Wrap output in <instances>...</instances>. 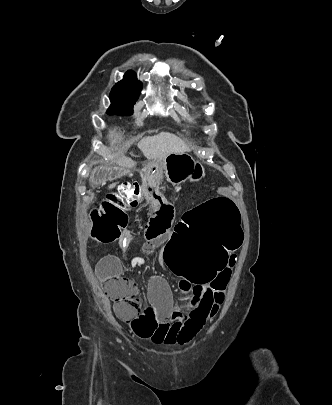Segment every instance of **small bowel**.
Here are the masks:
<instances>
[{
    "instance_id": "1",
    "label": "small bowel",
    "mask_w": 332,
    "mask_h": 405,
    "mask_svg": "<svg viewBox=\"0 0 332 405\" xmlns=\"http://www.w3.org/2000/svg\"><path fill=\"white\" fill-rule=\"evenodd\" d=\"M99 172H90V184L95 186H112V177H126V168H109L108 163L100 164ZM163 170L160 159H149L144 169L140 171V197L143 204L150 205L151 216L145 227V242L143 250L153 253L170 240L171 223L175 216V208L164 195L160 183L163 181ZM184 220H187L184 219ZM132 240L129 231H124L118 243L127 247ZM231 265L234 257H228ZM142 260L135 261L141 265ZM121 259L116 255H106L96 264V274L103 282L118 275L121 271ZM215 276V275H214ZM192 281H180L179 291L189 295L179 307H175L171 289L166 279L160 275H152L148 282V300L145 301V311H139L138 316L130 320L134 334L141 339L152 341L154 344L175 345L188 343L199 332L207 321L206 312L211 301L210 281L206 287H193Z\"/></svg>"
}]
</instances>
